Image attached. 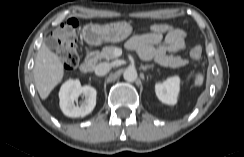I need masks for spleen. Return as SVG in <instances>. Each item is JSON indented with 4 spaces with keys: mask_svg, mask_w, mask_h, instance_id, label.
I'll return each mask as SVG.
<instances>
[{
    "mask_svg": "<svg viewBox=\"0 0 244 157\" xmlns=\"http://www.w3.org/2000/svg\"><path fill=\"white\" fill-rule=\"evenodd\" d=\"M204 81V75L201 72H198L195 74L194 78V86L200 87L203 84Z\"/></svg>",
    "mask_w": 244,
    "mask_h": 157,
    "instance_id": "spleen-1",
    "label": "spleen"
}]
</instances>
